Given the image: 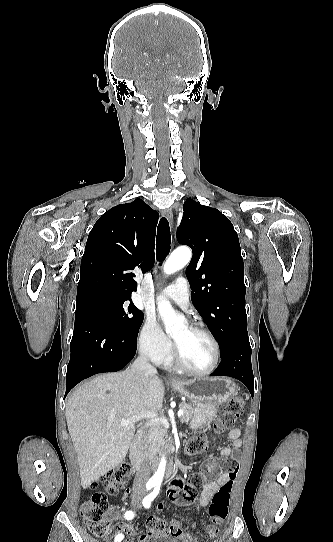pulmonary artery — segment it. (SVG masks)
<instances>
[{
    "label": "pulmonary artery",
    "mask_w": 333,
    "mask_h": 542,
    "mask_svg": "<svg viewBox=\"0 0 333 542\" xmlns=\"http://www.w3.org/2000/svg\"><path fill=\"white\" fill-rule=\"evenodd\" d=\"M176 284H169L164 292L167 299L177 304L180 308L189 311L190 308V293L188 282L186 279L177 278Z\"/></svg>",
    "instance_id": "1"
}]
</instances>
